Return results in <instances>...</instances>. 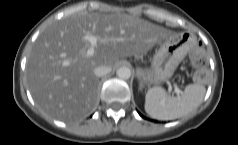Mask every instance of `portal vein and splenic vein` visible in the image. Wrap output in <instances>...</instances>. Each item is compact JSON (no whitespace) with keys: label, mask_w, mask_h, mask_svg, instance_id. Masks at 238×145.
<instances>
[{"label":"portal vein and splenic vein","mask_w":238,"mask_h":145,"mask_svg":"<svg viewBox=\"0 0 238 145\" xmlns=\"http://www.w3.org/2000/svg\"><path fill=\"white\" fill-rule=\"evenodd\" d=\"M85 39L90 42V47L87 50V56H93L98 43V39L93 35H87ZM168 89L169 91L172 89V86L170 84L168 85ZM174 91L178 95L182 93V91L177 86H174Z\"/></svg>","instance_id":"1"}]
</instances>
